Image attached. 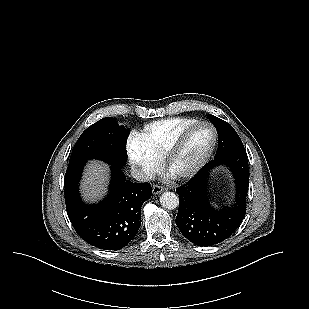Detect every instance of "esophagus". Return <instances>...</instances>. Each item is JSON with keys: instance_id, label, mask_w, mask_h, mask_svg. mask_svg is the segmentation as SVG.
Wrapping results in <instances>:
<instances>
[{"instance_id": "1", "label": "esophagus", "mask_w": 309, "mask_h": 309, "mask_svg": "<svg viewBox=\"0 0 309 309\" xmlns=\"http://www.w3.org/2000/svg\"><path fill=\"white\" fill-rule=\"evenodd\" d=\"M164 191V187L160 186V185H153L152 187V193L154 195L160 194Z\"/></svg>"}]
</instances>
